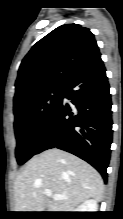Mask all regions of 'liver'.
Returning <instances> with one entry per match:
<instances>
[{
  "label": "liver",
  "instance_id": "liver-1",
  "mask_svg": "<svg viewBox=\"0 0 123 219\" xmlns=\"http://www.w3.org/2000/svg\"><path fill=\"white\" fill-rule=\"evenodd\" d=\"M65 195L55 200L45 195ZM101 175L77 156L57 148L31 158L14 182L16 212H74L84 201L103 199Z\"/></svg>",
  "mask_w": 123,
  "mask_h": 219
}]
</instances>
